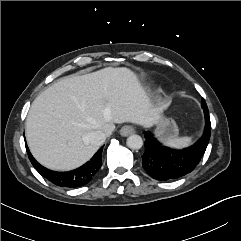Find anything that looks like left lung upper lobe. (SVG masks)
Masks as SVG:
<instances>
[{
	"mask_svg": "<svg viewBox=\"0 0 241 241\" xmlns=\"http://www.w3.org/2000/svg\"><path fill=\"white\" fill-rule=\"evenodd\" d=\"M201 106H202L203 110H205V109L208 110L207 105H206V102H205L204 99H202V101H201Z\"/></svg>",
	"mask_w": 241,
	"mask_h": 241,
	"instance_id": "5c2ea615",
	"label": "left lung upper lobe"
}]
</instances>
